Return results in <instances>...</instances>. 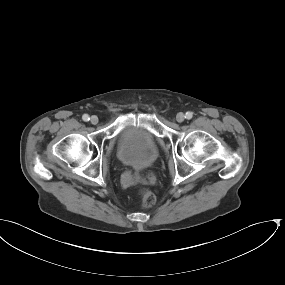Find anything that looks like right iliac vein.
<instances>
[{"instance_id":"63e3f726","label":"right iliac vein","mask_w":285,"mask_h":285,"mask_svg":"<svg viewBox=\"0 0 285 285\" xmlns=\"http://www.w3.org/2000/svg\"><path fill=\"white\" fill-rule=\"evenodd\" d=\"M90 122L94 125H96L99 122V119L97 116H92L90 119Z\"/></svg>"}]
</instances>
